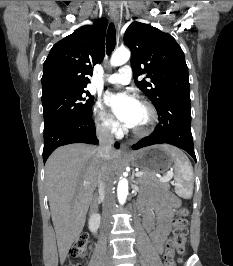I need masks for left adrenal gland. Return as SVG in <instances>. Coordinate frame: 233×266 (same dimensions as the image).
Listing matches in <instances>:
<instances>
[{"label":"left adrenal gland","instance_id":"a2214340","mask_svg":"<svg viewBox=\"0 0 233 266\" xmlns=\"http://www.w3.org/2000/svg\"><path fill=\"white\" fill-rule=\"evenodd\" d=\"M132 179H134V173L132 174ZM134 183H137L135 180H133Z\"/></svg>","mask_w":233,"mask_h":266}]
</instances>
